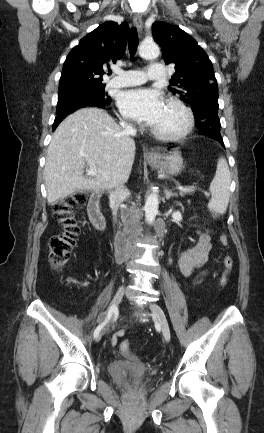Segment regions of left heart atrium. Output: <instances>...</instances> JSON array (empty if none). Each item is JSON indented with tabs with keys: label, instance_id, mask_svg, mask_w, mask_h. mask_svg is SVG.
<instances>
[{
	"label": "left heart atrium",
	"instance_id": "left-heart-atrium-1",
	"mask_svg": "<svg viewBox=\"0 0 264 433\" xmlns=\"http://www.w3.org/2000/svg\"><path fill=\"white\" fill-rule=\"evenodd\" d=\"M118 105L123 114L149 126L159 121L165 108L162 95L147 88L132 89L121 93L118 97Z\"/></svg>",
	"mask_w": 264,
	"mask_h": 433
}]
</instances>
